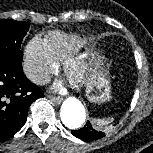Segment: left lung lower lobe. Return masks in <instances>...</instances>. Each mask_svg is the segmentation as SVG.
Instances as JSON below:
<instances>
[{"label": "left lung lower lobe", "mask_w": 153, "mask_h": 153, "mask_svg": "<svg viewBox=\"0 0 153 153\" xmlns=\"http://www.w3.org/2000/svg\"><path fill=\"white\" fill-rule=\"evenodd\" d=\"M71 133L84 141H93L96 139H100L105 136V134L101 131L95 130L89 121H87L86 125L79 130H72Z\"/></svg>", "instance_id": "obj_1"}]
</instances>
